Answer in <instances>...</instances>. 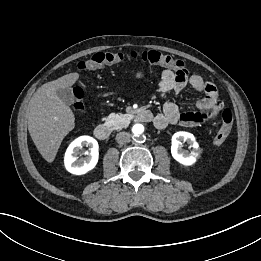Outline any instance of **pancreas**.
Returning <instances> with one entry per match:
<instances>
[{
  "label": "pancreas",
  "mask_w": 261,
  "mask_h": 261,
  "mask_svg": "<svg viewBox=\"0 0 261 261\" xmlns=\"http://www.w3.org/2000/svg\"><path fill=\"white\" fill-rule=\"evenodd\" d=\"M130 116L129 114H116L111 113L106 118V123L109 127L113 130H119L126 127L130 123Z\"/></svg>",
  "instance_id": "obj_1"
}]
</instances>
